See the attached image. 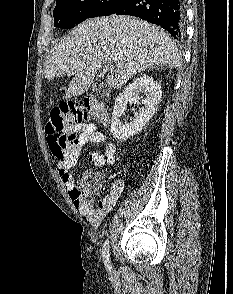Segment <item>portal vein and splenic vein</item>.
I'll use <instances>...</instances> for the list:
<instances>
[{
  "mask_svg": "<svg viewBox=\"0 0 233 294\" xmlns=\"http://www.w3.org/2000/svg\"><path fill=\"white\" fill-rule=\"evenodd\" d=\"M106 69L113 70L114 69V66L113 65H106Z\"/></svg>",
  "mask_w": 233,
  "mask_h": 294,
  "instance_id": "obj_1",
  "label": "portal vein and splenic vein"
}]
</instances>
